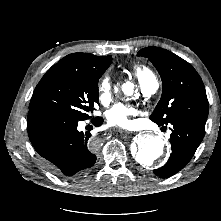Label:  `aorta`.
Masks as SVG:
<instances>
[{
	"label": "aorta",
	"mask_w": 221,
	"mask_h": 221,
	"mask_svg": "<svg viewBox=\"0 0 221 221\" xmlns=\"http://www.w3.org/2000/svg\"><path fill=\"white\" fill-rule=\"evenodd\" d=\"M122 89L126 95L130 96L134 92V85L131 82H127L123 84ZM135 143L136 148L133 152V157L143 167L152 166L165 153V141L160 136L142 135L136 139Z\"/></svg>",
	"instance_id": "1"
}]
</instances>
